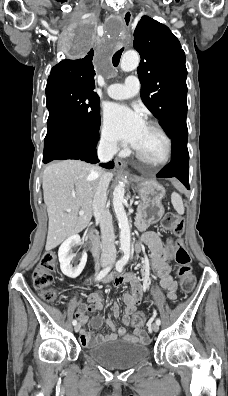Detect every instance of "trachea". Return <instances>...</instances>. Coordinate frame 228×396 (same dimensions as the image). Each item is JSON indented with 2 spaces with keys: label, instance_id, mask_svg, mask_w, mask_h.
<instances>
[{
  "label": "trachea",
  "instance_id": "3493384b",
  "mask_svg": "<svg viewBox=\"0 0 228 396\" xmlns=\"http://www.w3.org/2000/svg\"><path fill=\"white\" fill-rule=\"evenodd\" d=\"M124 48H121L120 50H118L112 57V63L115 67H117L119 65L120 62V58L121 55L123 53Z\"/></svg>",
  "mask_w": 228,
  "mask_h": 396
}]
</instances>
